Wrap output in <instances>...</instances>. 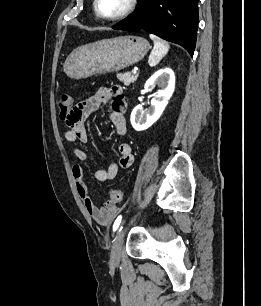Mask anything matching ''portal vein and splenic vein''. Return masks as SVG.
<instances>
[{
	"instance_id": "1",
	"label": "portal vein and splenic vein",
	"mask_w": 261,
	"mask_h": 306,
	"mask_svg": "<svg viewBox=\"0 0 261 306\" xmlns=\"http://www.w3.org/2000/svg\"><path fill=\"white\" fill-rule=\"evenodd\" d=\"M132 72H133V74H136V73H137V70H136V69H134Z\"/></svg>"
}]
</instances>
